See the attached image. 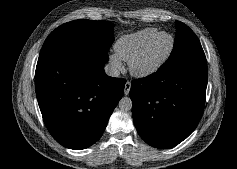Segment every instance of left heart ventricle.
I'll list each match as a JSON object with an SVG mask.
<instances>
[{"instance_id": "b2bd125f", "label": "left heart ventricle", "mask_w": 237, "mask_h": 169, "mask_svg": "<svg viewBox=\"0 0 237 169\" xmlns=\"http://www.w3.org/2000/svg\"><path fill=\"white\" fill-rule=\"evenodd\" d=\"M169 47L170 39L167 35L158 37L144 55L139 66L147 67L154 64L167 53Z\"/></svg>"}]
</instances>
